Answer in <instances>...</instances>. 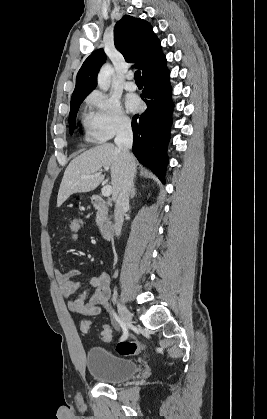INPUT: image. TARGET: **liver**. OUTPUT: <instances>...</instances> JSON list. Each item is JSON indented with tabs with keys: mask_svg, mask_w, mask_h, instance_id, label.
<instances>
[{
	"mask_svg": "<svg viewBox=\"0 0 267 419\" xmlns=\"http://www.w3.org/2000/svg\"><path fill=\"white\" fill-rule=\"evenodd\" d=\"M110 168L112 197L118 195V187L123 173L121 152L111 143L91 148L74 158L65 169L57 197V206H61L70 195L94 190L103 180L104 175L84 178V175H95L101 168Z\"/></svg>",
	"mask_w": 267,
	"mask_h": 419,
	"instance_id": "liver-1",
	"label": "liver"
}]
</instances>
